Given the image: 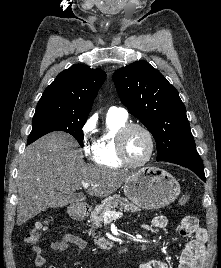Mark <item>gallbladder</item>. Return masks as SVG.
I'll return each mask as SVG.
<instances>
[{"label":"gallbladder","mask_w":221,"mask_h":268,"mask_svg":"<svg viewBox=\"0 0 221 268\" xmlns=\"http://www.w3.org/2000/svg\"><path fill=\"white\" fill-rule=\"evenodd\" d=\"M57 197H58V199H50L49 200L50 205L55 204L52 206V208H61V207L68 204L69 199L65 195L57 194Z\"/></svg>","instance_id":"gallbladder-1"}]
</instances>
